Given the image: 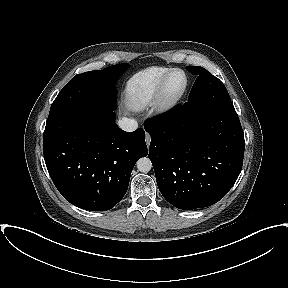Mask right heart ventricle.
<instances>
[{
    "mask_svg": "<svg viewBox=\"0 0 288 288\" xmlns=\"http://www.w3.org/2000/svg\"><path fill=\"white\" fill-rule=\"evenodd\" d=\"M170 70L171 68L154 66L133 75L126 87L128 106L138 111L151 104L161 81Z\"/></svg>",
    "mask_w": 288,
    "mask_h": 288,
    "instance_id": "obj_1",
    "label": "right heart ventricle"
}]
</instances>
